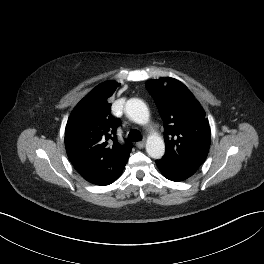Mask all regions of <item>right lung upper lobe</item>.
Returning <instances> with one entry per match:
<instances>
[{
  "mask_svg": "<svg viewBox=\"0 0 264 264\" xmlns=\"http://www.w3.org/2000/svg\"><path fill=\"white\" fill-rule=\"evenodd\" d=\"M117 86L115 81L99 84L72 111L65 129V147L75 168L104 165L115 170L126 164L132 147L127 142L118 143L119 120L110 113V97Z\"/></svg>",
  "mask_w": 264,
  "mask_h": 264,
  "instance_id": "right-lung-upper-lobe-1",
  "label": "right lung upper lobe"
}]
</instances>
